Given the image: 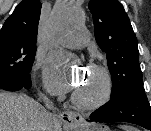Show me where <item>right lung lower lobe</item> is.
I'll return each instance as SVG.
<instances>
[{"mask_svg": "<svg viewBox=\"0 0 151 131\" xmlns=\"http://www.w3.org/2000/svg\"><path fill=\"white\" fill-rule=\"evenodd\" d=\"M30 86H31V81H30V79H29L27 82H25L23 88L28 89V88H30Z\"/></svg>", "mask_w": 151, "mask_h": 131, "instance_id": "1", "label": "right lung lower lobe"}]
</instances>
